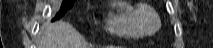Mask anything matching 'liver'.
<instances>
[{
  "label": "liver",
  "mask_w": 213,
  "mask_h": 48,
  "mask_svg": "<svg viewBox=\"0 0 213 48\" xmlns=\"http://www.w3.org/2000/svg\"><path fill=\"white\" fill-rule=\"evenodd\" d=\"M88 46L71 24L58 21L45 29L38 48H89Z\"/></svg>",
  "instance_id": "1"
}]
</instances>
